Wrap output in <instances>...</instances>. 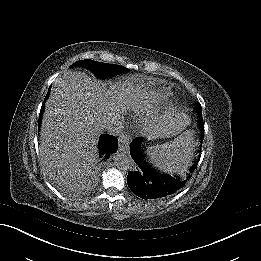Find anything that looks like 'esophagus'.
<instances>
[{
	"label": "esophagus",
	"instance_id": "obj_1",
	"mask_svg": "<svg viewBox=\"0 0 261 261\" xmlns=\"http://www.w3.org/2000/svg\"><path fill=\"white\" fill-rule=\"evenodd\" d=\"M130 135L129 133H122L119 136V150L123 151L124 153H127L129 150V144H130Z\"/></svg>",
	"mask_w": 261,
	"mask_h": 261
}]
</instances>
